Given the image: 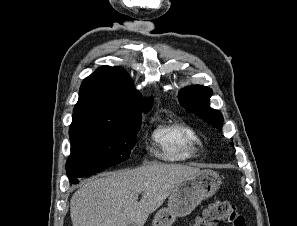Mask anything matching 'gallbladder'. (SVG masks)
<instances>
[{"label": "gallbladder", "mask_w": 297, "mask_h": 226, "mask_svg": "<svg viewBox=\"0 0 297 226\" xmlns=\"http://www.w3.org/2000/svg\"><path fill=\"white\" fill-rule=\"evenodd\" d=\"M127 226H136L135 224H133V223H128V225Z\"/></svg>", "instance_id": "1"}]
</instances>
